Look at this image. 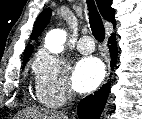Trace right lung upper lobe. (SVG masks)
Listing matches in <instances>:
<instances>
[{
	"label": "right lung upper lobe",
	"mask_w": 142,
	"mask_h": 119,
	"mask_svg": "<svg viewBox=\"0 0 142 119\" xmlns=\"http://www.w3.org/2000/svg\"><path fill=\"white\" fill-rule=\"evenodd\" d=\"M97 6L99 8V11L103 18L113 24L115 27L116 22H115V11L111 7L112 5V0H96ZM51 17V10L50 9H45L38 17L35 25L33 32L31 34V39L36 40L38 36L41 34L45 26L48 24L49 19ZM33 51V45L28 44L26 48V52L24 55L23 62L27 61L28 58L30 57L31 53Z\"/></svg>",
	"instance_id": "1"
}]
</instances>
